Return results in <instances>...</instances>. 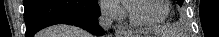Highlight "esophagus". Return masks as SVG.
Masks as SVG:
<instances>
[{"instance_id":"1","label":"esophagus","mask_w":219,"mask_h":37,"mask_svg":"<svg viewBox=\"0 0 219 37\" xmlns=\"http://www.w3.org/2000/svg\"><path fill=\"white\" fill-rule=\"evenodd\" d=\"M115 33L118 37H123L127 34V31L124 29L123 26L117 25Z\"/></svg>"}]
</instances>
